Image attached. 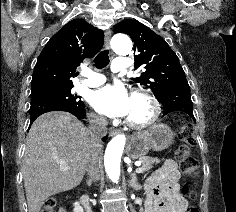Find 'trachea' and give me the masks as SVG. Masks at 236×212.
<instances>
[{
	"label": "trachea",
	"mask_w": 236,
	"mask_h": 212,
	"mask_svg": "<svg viewBox=\"0 0 236 212\" xmlns=\"http://www.w3.org/2000/svg\"><path fill=\"white\" fill-rule=\"evenodd\" d=\"M109 51L103 50L95 57V66L97 69H102L109 64Z\"/></svg>",
	"instance_id": "3493384b"
}]
</instances>
